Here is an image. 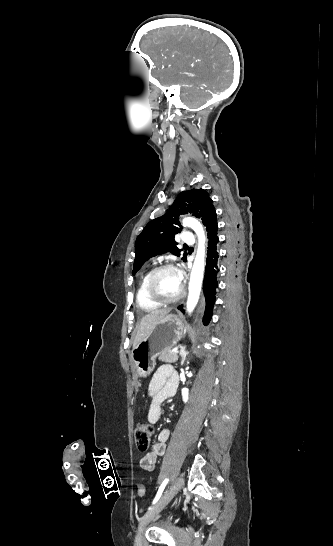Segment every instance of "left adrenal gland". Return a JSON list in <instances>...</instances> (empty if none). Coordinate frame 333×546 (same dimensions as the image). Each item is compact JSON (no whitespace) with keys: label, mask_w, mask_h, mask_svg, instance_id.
<instances>
[{"label":"left adrenal gland","mask_w":333,"mask_h":546,"mask_svg":"<svg viewBox=\"0 0 333 546\" xmlns=\"http://www.w3.org/2000/svg\"><path fill=\"white\" fill-rule=\"evenodd\" d=\"M188 353H189V352L186 351V346L181 347V349H180L181 365L184 364L185 359H186V356H187Z\"/></svg>","instance_id":"obj_1"}]
</instances>
